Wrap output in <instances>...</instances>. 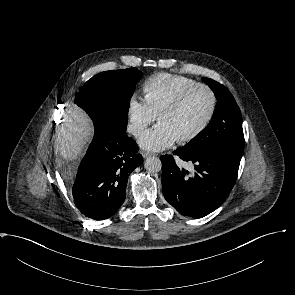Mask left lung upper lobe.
<instances>
[{"label":"left lung upper lobe","mask_w":295,"mask_h":295,"mask_svg":"<svg viewBox=\"0 0 295 295\" xmlns=\"http://www.w3.org/2000/svg\"><path fill=\"white\" fill-rule=\"evenodd\" d=\"M202 80L215 93L218 102L207 127L180 149L187 153L220 151L241 160L244 135L240 109L225 86L209 78Z\"/></svg>","instance_id":"1"}]
</instances>
